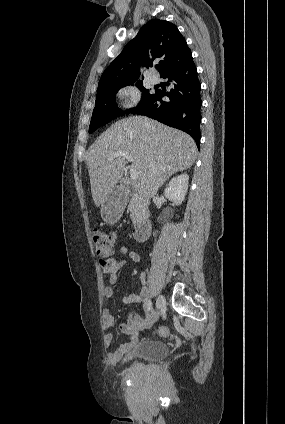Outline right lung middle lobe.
<instances>
[{
    "label": "right lung middle lobe",
    "instance_id": "right-lung-middle-lobe-1",
    "mask_svg": "<svg viewBox=\"0 0 285 424\" xmlns=\"http://www.w3.org/2000/svg\"><path fill=\"white\" fill-rule=\"evenodd\" d=\"M134 82L135 81L114 84V85L103 87L97 90L96 102H95V107H94L92 118H91L89 133L94 132L99 127L109 123L110 121L119 117L120 115H124V112L118 109L115 103V95L120 88L130 85ZM136 87L139 88V90L142 92L141 101L137 107L132 108L127 113H130L134 109L144 105L154 95V93H150L149 90L143 87L141 81H138L136 83Z\"/></svg>",
    "mask_w": 285,
    "mask_h": 424
}]
</instances>
